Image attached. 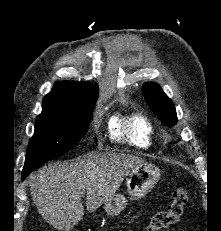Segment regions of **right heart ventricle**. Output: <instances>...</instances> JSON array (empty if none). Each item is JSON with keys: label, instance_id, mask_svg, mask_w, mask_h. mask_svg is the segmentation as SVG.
I'll use <instances>...</instances> for the list:
<instances>
[{"label": "right heart ventricle", "instance_id": "obj_1", "mask_svg": "<svg viewBox=\"0 0 221 231\" xmlns=\"http://www.w3.org/2000/svg\"><path fill=\"white\" fill-rule=\"evenodd\" d=\"M110 129L114 139L138 148L150 147L155 133L152 123L140 113L115 117Z\"/></svg>", "mask_w": 221, "mask_h": 231}]
</instances>
